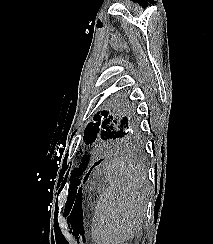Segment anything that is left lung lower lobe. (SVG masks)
I'll use <instances>...</instances> for the list:
<instances>
[{"label": "left lung lower lobe", "mask_w": 213, "mask_h": 244, "mask_svg": "<svg viewBox=\"0 0 213 244\" xmlns=\"http://www.w3.org/2000/svg\"><path fill=\"white\" fill-rule=\"evenodd\" d=\"M100 162H101V160H99L98 162H96V163L92 166V168L90 169V171H89V172L85 175V177L82 179V183H84V182L87 180V178L89 177V174H90L91 170L94 168V166L98 165Z\"/></svg>", "instance_id": "1"}]
</instances>
